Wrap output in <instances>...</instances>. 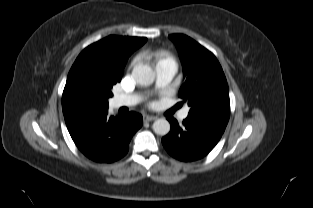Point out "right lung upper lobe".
Listing matches in <instances>:
<instances>
[{
  "mask_svg": "<svg viewBox=\"0 0 313 208\" xmlns=\"http://www.w3.org/2000/svg\"><path fill=\"white\" fill-rule=\"evenodd\" d=\"M146 41L147 38L144 37L110 35L86 47L69 71L62 95V105L79 102L75 89L81 81L121 79L128 57Z\"/></svg>",
  "mask_w": 313,
  "mask_h": 208,
  "instance_id": "1",
  "label": "right lung upper lobe"
}]
</instances>
